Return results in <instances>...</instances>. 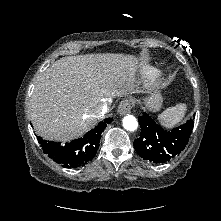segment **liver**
<instances>
[{
  "mask_svg": "<svg viewBox=\"0 0 221 221\" xmlns=\"http://www.w3.org/2000/svg\"><path fill=\"white\" fill-rule=\"evenodd\" d=\"M141 68L135 56L124 54L60 58L35 84L29 105L35 131L61 142L82 136L97 124L96 109L138 88Z\"/></svg>",
  "mask_w": 221,
  "mask_h": 221,
  "instance_id": "6515ba94",
  "label": "liver"
}]
</instances>
